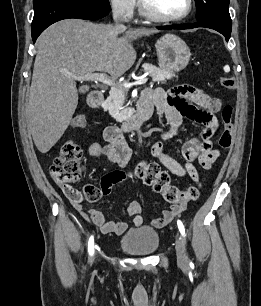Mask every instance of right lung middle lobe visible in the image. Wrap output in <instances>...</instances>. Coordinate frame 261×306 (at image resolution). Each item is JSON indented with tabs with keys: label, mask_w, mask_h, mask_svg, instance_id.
<instances>
[{
	"label": "right lung middle lobe",
	"mask_w": 261,
	"mask_h": 306,
	"mask_svg": "<svg viewBox=\"0 0 261 306\" xmlns=\"http://www.w3.org/2000/svg\"><path fill=\"white\" fill-rule=\"evenodd\" d=\"M71 1H77L82 3H87L93 6H97L106 10H111L109 0H71Z\"/></svg>",
	"instance_id": "obj_1"
}]
</instances>
